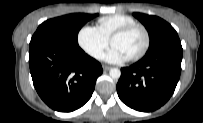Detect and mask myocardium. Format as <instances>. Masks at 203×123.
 Returning a JSON list of instances; mask_svg holds the SVG:
<instances>
[{"label":"myocardium","instance_id":"f54148a6","mask_svg":"<svg viewBox=\"0 0 203 123\" xmlns=\"http://www.w3.org/2000/svg\"><path fill=\"white\" fill-rule=\"evenodd\" d=\"M135 29H140L143 32L144 37H145V42H144L143 48L136 55H134L128 59L130 61H137V60L141 59L149 50L150 34H149L148 30L146 29V27L143 26L142 24H139V23L131 24V25L120 28L119 30L114 32L110 38V43L112 45L113 41L116 38L124 36V35L130 33L131 31H133Z\"/></svg>","mask_w":203,"mask_h":123}]
</instances>
